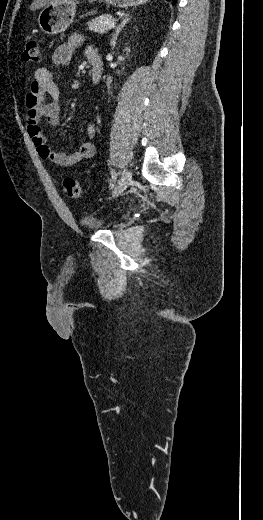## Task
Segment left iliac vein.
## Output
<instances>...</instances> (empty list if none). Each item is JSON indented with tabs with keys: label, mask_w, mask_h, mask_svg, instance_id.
Returning a JSON list of instances; mask_svg holds the SVG:
<instances>
[{
	"label": "left iliac vein",
	"mask_w": 263,
	"mask_h": 520,
	"mask_svg": "<svg viewBox=\"0 0 263 520\" xmlns=\"http://www.w3.org/2000/svg\"><path fill=\"white\" fill-rule=\"evenodd\" d=\"M131 179H132L131 171L124 170L114 188L113 196L115 197V196H118L120 193H122L130 184Z\"/></svg>",
	"instance_id": "1"
}]
</instances>
